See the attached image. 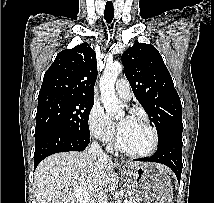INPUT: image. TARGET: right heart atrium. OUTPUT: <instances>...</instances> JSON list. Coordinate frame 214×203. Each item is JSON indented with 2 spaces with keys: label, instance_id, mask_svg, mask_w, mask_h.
Returning a JSON list of instances; mask_svg holds the SVG:
<instances>
[{
  "label": "right heart atrium",
  "instance_id": "obj_1",
  "mask_svg": "<svg viewBox=\"0 0 214 203\" xmlns=\"http://www.w3.org/2000/svg\"><path fill=\"white\" fill-rule=\"evenodd\" d=\"M88 128L95 139L106 144L111 143L116 135L113 123L98 103H94L91 107L88 116Z\"/></svg>",
  "mask_w": 214,
  "mask_h": 203
}]
</instances>
